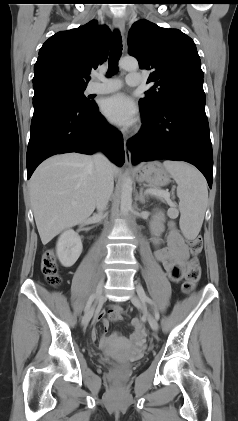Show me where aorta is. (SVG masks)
<instances>
[{
  "label": "aorta",
  "instance_id": "1",
  "mask_svg": "<svg viewBox=\"0 0 238 421\" xmlns=\"http://www.w3.org/2000/svg\"><path fill=\"white\" fill-rule=\"evenodd\" d=\"M119 67L133 71L138 69V61L133 57H125L120 59ZM132 208V181L129 177H126L122 184L121 190V204L120 211L123 215H126Z\"/></svg>",
  "mask_w": 238,
  "mask_h": 421
}]
</instances>
